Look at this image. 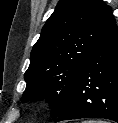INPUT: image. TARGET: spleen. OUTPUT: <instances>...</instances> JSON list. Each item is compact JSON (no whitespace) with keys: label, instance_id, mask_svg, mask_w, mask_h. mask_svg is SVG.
I'll return each instance as SVG.
<instances>
[{"label":"spleen","instance_id":"obj_1","mask_svg":"<svg viewBox=\"0 0 118 123\" xmlns=\"http://www.w3.org/2000/svg\"><path fill=\"white\" fill-rule=\"evenodd\" d=\"M84 123H106V122H103V121H86Z\"/></svg>","mask_w":118,"mask_h":123}]
</instances>
